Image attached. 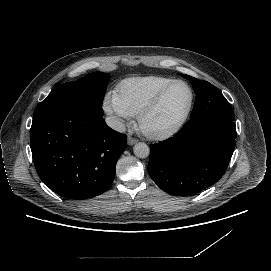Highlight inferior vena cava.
I'll list each match as a JSON object with an SVG mask.
<instances>
[{
  "instance_id": "obj_1",
  "label": "inferior vena cava",
  "mask_w": 271,
  "mask_h": 271,
  "mask_svg": "<svg viewBox=\"0 0 271 271\" xmlns=\"http://www.w3.org/2000/svg\"><path fill=\"white\" fill-rule=\"evenodd\" d=\"M107 125L112 128L113 130L124 133L126 132V126L124 122L114 116H109L106 118Z\"/></svg>"
}]
</instances>
